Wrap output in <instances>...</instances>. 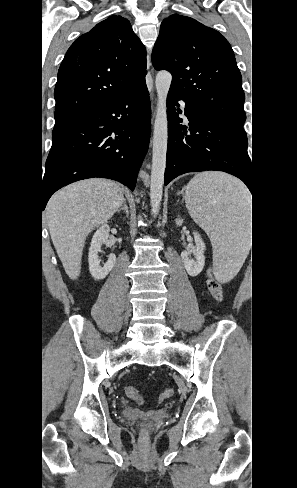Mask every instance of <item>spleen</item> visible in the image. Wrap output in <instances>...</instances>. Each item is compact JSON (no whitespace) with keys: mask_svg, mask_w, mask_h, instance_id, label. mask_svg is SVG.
I'll list each match as a JSON object with an SVG mask.
<instances>
[{"mask_svg":"<svg viewBox=\"0 0 297 488\" xmlns=\"http://www.w3.org/2000/svg\"><path fill=\"white\" fill-rule=\"evenodd\" d=\"M186 207L208 234L219 276L226 281L238 273L250 248V204L246 187L221 172L195 175L186 187Z\"/></svg>","mask_w":297,"mask_h":488,"instance_id":"spleen-1","label":"spleen"}]
</instances>
